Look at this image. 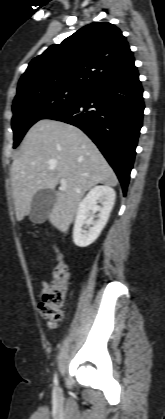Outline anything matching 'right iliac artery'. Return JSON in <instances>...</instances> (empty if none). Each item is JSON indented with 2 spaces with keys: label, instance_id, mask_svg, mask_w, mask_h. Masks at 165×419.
Wrapping results in <instances>:
<instances>
[{
  "label": "right iliac artery",
  "instance_id": "82829eb1",
  "mask_svg": "<svg viewBox=\"0 0 165 419\" xmlns=\"http://www.w3.org/2000/svg\"><path fill=\"white\" fill-rule=\"evenodd\" d=\"M53 382H54V385L56 387L58 385L57 374H55Z\"/></svg>",
  "mask_w": 165,
  "mask_h": 419
}]
</instances>
